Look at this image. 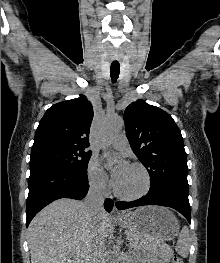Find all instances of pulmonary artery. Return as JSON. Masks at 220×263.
Listing matches in <instances>:
<instances>
[{
  "label": "pulmonary artery",
  "instance_id": "obj_1",
  "mask_svg": "<svg viewBox=\"0 0 220 263\" xmlns=\"http://www.w3.org/2000/svg\"><path fill=\"white\" fill-rule=\"evenodd\" d=\"M111 144L117 148V149H122L127 147L128 145V140L125 134L121 133L116 135L112 140Z\"/></svg>",
  "mask_w": 220,
  "mask_h": 263
}]
</instances>
